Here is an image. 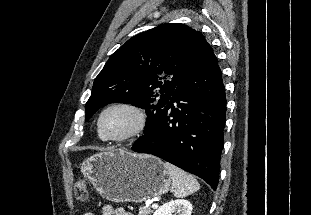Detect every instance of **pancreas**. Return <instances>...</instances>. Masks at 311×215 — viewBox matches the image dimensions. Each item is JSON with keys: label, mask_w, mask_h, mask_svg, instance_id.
<instances>
[{"label": "pancreas", "mask_w": 311, "mask_h": 215, "mask_svg": "<svg viewBox=\"0 0 311 215\" xmlns=\"http://www.w3.org/2000/svg\"><path fill=\"white\" fill-rule=\"evenodd\" d=\"M152 213V210L150 207L141 206L139 208V215H150Z\"/></svg>", "instance_id": "cf45deb5"}]
</instances>
